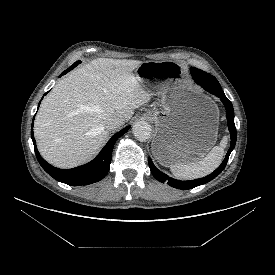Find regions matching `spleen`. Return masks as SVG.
<instances>
[{"label": "spleen", "mask_w": 275, "mask_h": 275, "mask_svg": "<svg viewBox=\"0 0 275 275\" xmlns=\"http://www.w3.org/2000/svg\"><path fill=\"white\" fill-rule=\"evenodd\" d=\"M227 137H223L219 146H215L202 159L192 163H176L170 165L172 174L179 179L191 180L204 177L213 172L221 163Z\"/></svg>", "instance_id": "obj_1"}]
</instances>
